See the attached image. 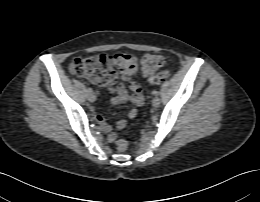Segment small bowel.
<instances>
[{"mask_svg":"<svg viewBox=\"0 0 260 202\" xmlns=\"http://www.w3.org/2000/svg\"><path fill=\"white\" fill-rule=\"evenodd\" d=\"M129 87L131 90V94H128L126 88L123 84H118L116 86H107L109 91H113L116 93V96L111 99L112 104H123V103H130L132 108L128 113V117L133 119L137 115V107H140L143 104L144 98L142 95L141 86L134 82L129 81ZM96 121L100 125L101 129L105 132L111 131V126L106 122L105 117L102 114L95 115ZM126 126L125 120H119L116 123L117 129H123ZM115 134H110L108 136V140L113 142L115 140Z\"/></svg>","mask_w":260,"mask_h":202,"instance_id":"small-bowel-1","label":"small bowel"}]
</instances>
